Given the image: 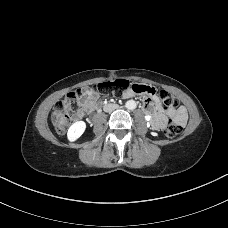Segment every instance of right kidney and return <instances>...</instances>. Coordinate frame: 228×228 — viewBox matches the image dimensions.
<instances>
[{
  "mask_svg": "<svg viewBox=\"0 0 228 228\" xmlns=\"http://www.w3.org/2000/svg\"><path fill=\"white\" fill-rule=\"evenodd\" d=\"M85 129L86 123L84 121H77L73 123L68 129V140L71 142L76 141L84 133Z\"/></svg>",
  "mask_w": 228,
  "mask_h": 228,
  "instance_id": "obj_1",
  "label": "right kidney"
}]
</instances>
